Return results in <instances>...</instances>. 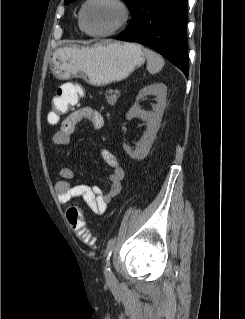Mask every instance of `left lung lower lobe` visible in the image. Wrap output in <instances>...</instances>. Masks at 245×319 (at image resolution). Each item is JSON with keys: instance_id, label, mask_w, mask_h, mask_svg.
I'll return each mask as SVG.
<instances>
[{"instance_id": "left-lung-lower-lobe-1", "label": "left lung lower lobe", "mask_w": 245, "mask_h": 319, "mask_svg": "<svg viewBox=\"0 0 245 319\" xmlns=\"http://www.w3.org/2000/svg\"><path fill=\"white\" fill-rule=\"evenodd\" d=\"M187 2L139 0L132 21L115 39L151 47L188 76Z\"/></svg>"}]
</instances>
